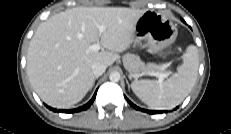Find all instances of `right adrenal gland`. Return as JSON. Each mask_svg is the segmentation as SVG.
Instances as JSON below:
<instances>
[{"instance_id":"obj_1","label":"right adrenal gland","mask_w":231,"mask_h":134,"mask_svg":"<svg viewBox=\"0 0 231 134\" xmlns=\"http://www.w3.org/2000/svg\"><path fill=\"white\" fill-rule=\"evenodd\" d=\"M96 79H98V77H95L92 87L94 86ZM92 87H91V89H92Z\"/></svg>"}]
</instances>
